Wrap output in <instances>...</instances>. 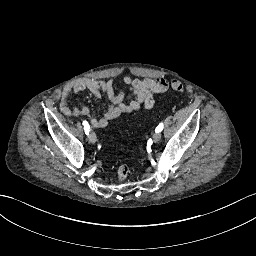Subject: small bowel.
Masks as SVG:
<instances>
[{
  "instance_id": "1",
  "label": "small bowel",
  "mask_w": 256,
  "mask_h": 256,
  "mask_svg": "<svg viewBox=\"0 0 256 256\" xmlns=\"http://www.w3.org/2000/svg\"><path fill=\"white\" fill-rule=\"evenodd\" d=\"M123 82L133 94L129 100H125L123 92L118 91L113 79L82 78L67 84L58 93L60 111L66 116H90V109L86 105L80 107L71 106L68 97L72 92L89 91L99 98L105 95L109 100V107L100 119L91 118V123L96 129H103L109 122L117 117L138 111L150 110L154 106L155 95L162 94L167 90V82L161 78H146L143 80L124 77Z\"/></svg>"
}]
</instances>
